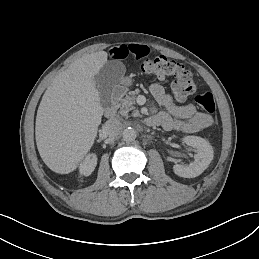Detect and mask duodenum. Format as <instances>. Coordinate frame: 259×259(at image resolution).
<instances>
[{
    "label": "duodenum",
    "instance_id": "duodenum-1",
    "mask_svg": "<svg viewBox=\"0 0 259 259\" xmlns=\"http://www.w3.org/2000/svg\"><path fill=\"white\" fill-rule=\"evenodd\" d=\"M124 92L125 89L123 86H117L113 89L111 99L104 108V114L106 117L111 118L115 115L117 102L124 95ZM145 123L149 126H154L156 124V120L153 116H151L145 119Z\"/></svg>",
    "mask_w": 259,
    "mask_h": 259
}]
</instances>
